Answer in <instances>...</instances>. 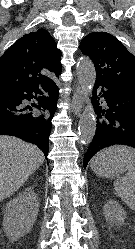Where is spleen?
Instances as JSON below:
<instances>
[{
	"label": "spleen",
	"mask_w": 135,
	"mask_h": 249,
	"mask_svg": "<svg viewBox=\"0 0 135 249\" xmlns=\"http://www.w3.org/2000/svg\"><path fill=\"white\" fill-rule=\"evenodd\" d=\"M105 158L126 163L127 173L122 182H114V188L123 202L135 211V149L126 146H112L99 152L92 162Z\"/></svg>",
	"instance_id": "3e777b00"
}]
</instances>
